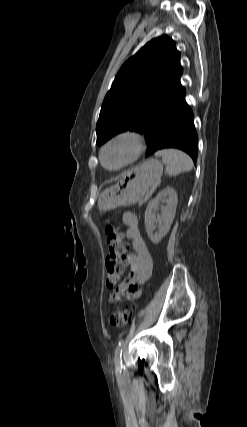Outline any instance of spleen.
Segmentation results:
<instances>
[{"label":"spleen","instance_id":"1","mask_svg":"<svg viewBox=\"0 0 247 427\" xmlns=\"http://www.w3.org/2000/svg\"><path fill=\"white\" fill-rule=\"evenodd\" d=\"M155 156H161L166 164V170L169 175L176 176L182 172H189L193 168L191 158L184 152L176 149H163L155 153Z\"/></svg>","mask_w":247,"mask_h":427}]
</instances>
